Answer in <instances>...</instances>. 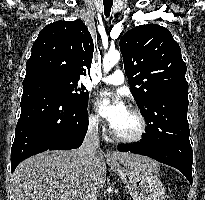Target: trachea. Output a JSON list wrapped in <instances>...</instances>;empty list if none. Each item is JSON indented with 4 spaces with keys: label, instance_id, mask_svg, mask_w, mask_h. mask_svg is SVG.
I'll use <instances>...</instances> for the list:
<instances>
[{
    "label": "trachea",
    "instance_id": "trachea-1",
    "mask_svg": "<svg viewBox=\"0 0 205 200\" xmlns=\"http://www.w3.org/2000/svg\"><path fill=\"white\" fill-rule=\"evenodd\" d=\"M103 4H104V12H105V16L108 18L110 16V11L113 5V1L112 0H103Z\"/></svg>",
    "mask_w": 205,
    "mask_h": 200
}]
</instances>
